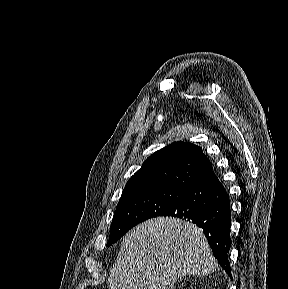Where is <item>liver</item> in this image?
I'll return each instance as SVG.
<instances>
[{
    "mask_svg": "<svg viewBox=\"0 0 288 289\" xmlns=\"http://www.w3.org/2000/svg\"><path fill=\"white\" fill-rule=\"evenodd\" d=\"M217 268L203 231L174 217L152 218L124 237L108 278L110 289H169L186 275Z\"/></svg>",
    "mask_w": 288,
    "mask_h": 289,
    "instance_id": "liver-1",
    "label": "liver"
}]
</instances>
